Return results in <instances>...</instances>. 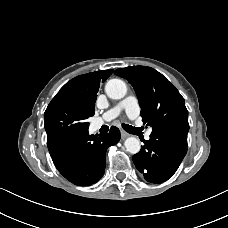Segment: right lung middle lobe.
Here are the masks:
<instances>
[{
    "label": "right lung middle lobe",
    "mask_w": 228,
    "mask_h": 228,
    "mask_svg": "<svg viewBox=\"0 0 228 228\" xmlns=\"http://www.w3.org/2000/svg\"><path fill=\"white\" fill-rule=\"evenodd\" d=\"M91 115L65 100H53L44 113L47 143L68 133L88 130Z\"/></svg>",
    "instance_id": "obj_1"
}]
</instances>
